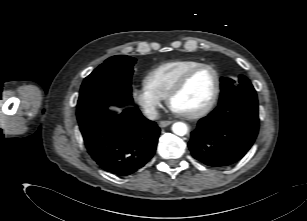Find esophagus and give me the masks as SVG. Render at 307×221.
<instances>
[{
	"instance_id": "obj_1",
	"label": "esophagus",
	"mask_w": 307,
	"mask_h": 221,
	"mask_svg": "<svg viewBox=\"0 0 307 221\" xmlns=\"http://www.w3.org/2000/svg\"><path fill=\"white\" fill-rule=\"evenodd\" d=\"M172 123H173V121L163 120V121H160V122H159V126L162 127V128H164V127L169 126V125L172 124Z\"/></svg>"
}]
</instances>
